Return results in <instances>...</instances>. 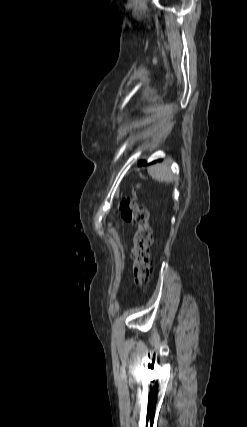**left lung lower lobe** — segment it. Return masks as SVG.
I'll list each match as a JSON object with an SVG mask.
<instances>
[{"mask_svg": "<svg viewBox=\"0 0 247 427\" xmlns=\"http://www.w3.org/2000/svg\"><path fill=\"white\" fill-rule=\"evenodd\" d=\"M139 165H145L146 164V161H139V163H138Z\"/></svg>", "mask_w": 247, "mask_h": 427, "instance_id": "left-lung-lower-lobe-1", "label": "left lung lower lobe"}]
</instances>
